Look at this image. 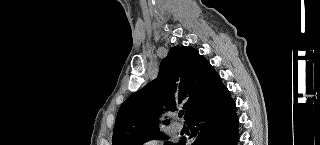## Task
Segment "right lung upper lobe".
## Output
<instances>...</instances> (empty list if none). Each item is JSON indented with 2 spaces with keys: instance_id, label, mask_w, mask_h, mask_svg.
<instances>
[{
  "instance_id": "1",
  "label": "right lung upper lobe",
  "mask_w": 320,
  "mask_h": 145,
  "mask_svg": "<svg viewBox=\"0 0 320 145\" xmlns=\"http://www.w3.org/2000/svg\"><path fill=\"white\" fill-rule=\"evenodd\" d=\"M219 77L211 64L191 46H175L164 58L156 80L132 94L120 107L112 145H132L158 131V118L183 104L185 120L208 102L211 87ZM167 124L168 121L166 120Z\"/></svg>"
}]
</instances>
